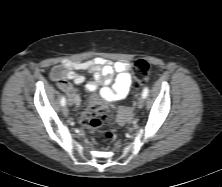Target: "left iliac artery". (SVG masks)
<instances>
[{"mask_svg":"<svg viewBox=\"0 0 222 187\" xmlns=\"http://www.w3.org/2000/svg\"><path fill=\"white\" fill-rule=\"evenodd\" d=\"M148 93H149V88H148V87H145V88L143 89L142 96H143L144 98H146L147 95H148Z\"/></svg>","mask_w":222,"mask_h":187,"instance_id":"obj_1","label":"left iliac artery"}]
</instances>
